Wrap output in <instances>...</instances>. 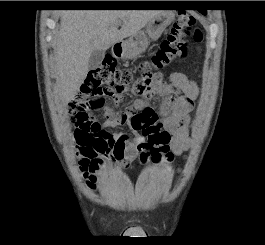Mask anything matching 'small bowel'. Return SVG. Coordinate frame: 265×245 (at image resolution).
<instances>
[{"instance_id": "1", "label": "small bowel", "mask_w": 265, "mask_h": 245, "mask_svg": "<svg viewBox=\"0 0 265 245\" xmlns=\"http://www.w3.org/2000/svg\"><path fill=\"white\" fill-rule=\"evenodd\" d=\"M157 83L160 86L158 93L162 96V105L159 111L152 109L144 99L135 100L131 107L119 112H114L108 106H102V101L99 99L93 101L96 107L103 109L106 116V120L99 129L109 133V128L121 124L124 117H131L135 111H150L169 129L171 152L174 155H181L192 145L189 136V113L192 109V102L198 94V87L194 81L178 72L169 76L167 84H162L160 78H157ZM85 93L86 90H83L82 95L87 97ZM112 135L115 139L122 140L128 149H135V144L128 134L114 133ZM75 150L79 170L90 191H97L98 183L106 172V166L124 168L132 160L133 155L117 156L108 150L83 147L78 142L75 143Z\"/></svg>"}]
</instances>
